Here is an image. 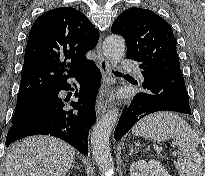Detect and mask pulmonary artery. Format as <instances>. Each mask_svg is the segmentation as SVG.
I'll list each match as a JSON object with an SVG mask.
<instances>
[{
    "label": "pulmonary artery",
    "mask_w": 205,
    "mask_h": 176,
    "mask_svg": "<svg viewBox=\"0 0 205 176\" xmlns=\"http://www.w3.org/2000/svg\"><path fill=\"white\" fill-rule=\"evenodd\" d=\"M121 69L123 71H129V72H133L135 74H137V76L142 79V73L141 70L139 69V66L135 63H133L129 58L127 57H122L121 60Z\"/></svg>",
    "instance_id": "obj_1"
}]
</instances>
